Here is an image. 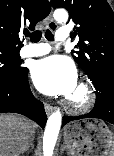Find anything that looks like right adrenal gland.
<instances>
[{
	"instance_id": "2a0ac1e0",
	"label": "right adrenal gland",
	"mask_w": 114,
	"mask_h": 156,
	"mask_svg": "<svg viewBox=\"0 0 114 156\" xmlns=\"http://www.w3.org/2000/svg\"><path fill=\"white\" fill-rule=\"evenodd\" d=\"M30 148H32L33 149V139H32V141H31V143L23 150V152L22 153H25V152H27Z\"/></svg>"
}]
</instances>
